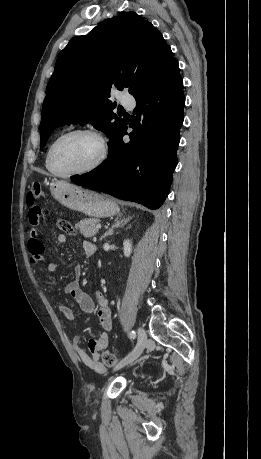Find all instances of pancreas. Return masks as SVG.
I'll return each instance as SVG.
<instances>
[{
  "label": "pancreas",
  "instance_id": "1",
  "mask_svg": "<svg viewBox=\"0 0 261 459\" xmlns=\"http://www.w3.org/2000/svg\"><path fill=\"white\" fill-rule=\"evenodd\" d=\"M99 222L100 220L98 218H86L77 223L75 227L80 230L83 236L90 238L98 233V228L96 226Z\"/></svg>",
  "mask_w": 261,
  "mask_h": 459
}]
</instances>
